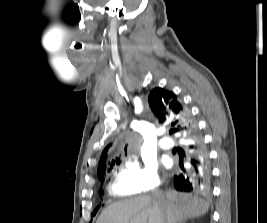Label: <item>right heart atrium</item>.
Returning a JSON list of instances; mask_svg holds the SVG:
<instances>
[{
    "mask_svg": "<svg viewBox=\"0 0 267 223\" xmlns=\"http://www.w3.org/2000/svg\"><path fill=\"white\" fill-rule=\"evenodd\" d=\"M159 184L160 177L154 164L128 160L118 168L111 190L119 195H139L150 192Z\"/></svg>",
    "mask_w": 267,
    "mask_h": 223,
    "instance_id": "1",
    "label": "right heart atrium"
}]
</instances>
